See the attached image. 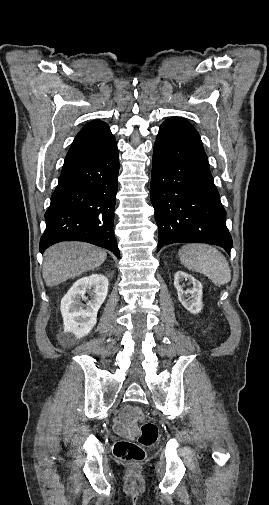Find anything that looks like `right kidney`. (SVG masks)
Wrapping results in <instances>:
<instances>
[{"label":"right kidney","instance_id":"right-kidney-1","mask_svg":"<svg viewBox=\"0 0 269 505\" xmlns=\"http://www.w3.org/2000/svg\"><path fill=\"white\" fill-rule=\"evenodd\" d=\"M108 279L92 274L77 280L61 301L63 339L73 341L86 336L97 322V313L106 299ZM89 295L90 300H88ZM83 301H87L86 304Z\"/></svg>","mask_w":269,"mask_h":505}]
</instances>
